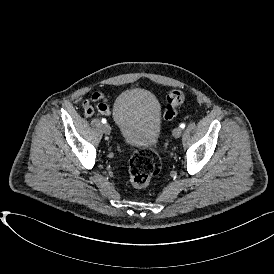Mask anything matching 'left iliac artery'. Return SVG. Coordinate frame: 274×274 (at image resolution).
I'll use <instances>...</instances> for the list:
<instances>
[{
  "mask_svg": "<svg viewBox=\"0 0 274 274\" xmlns=\"http://www.w3.org/2000/svg\"><path fill=\"white\" fill-rule=\"evenodd\" d=\"M180 128H185V124L184 123H182V124H180Z\"/></svg>",
  "mask_w": 274,
  "mask_h": 274,
  "instance_id": "obj_1",
  "label": "left iliac artery"
}]
</instances>
